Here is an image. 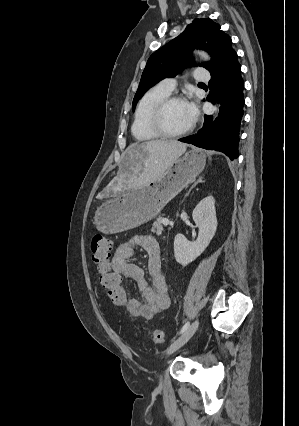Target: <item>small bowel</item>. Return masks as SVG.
I'll list each match as a JSON object with an SVG mask.
<instances>
[{"instance_id": "obj_1", "label": "small bowel", "mask_w": 299, "mask_h": 426, "mask_svg": "<svg viewBox=\"0 0 299 426\" xmlns=\"http://www.w3.org/2000/svg\"><path fill=\"white\" fill-rule=\"evenodd\" d=\"M137 246L147 253L150 284L145 279L143 269L130 262ZM111 267L117 274L135 283L142 295V300H138L127 293L123 305L131 315L151 319L170 306L169 289L162 272L160 246L153 236L141 235L119 243L114 249Z\"/></svg>"}]
</instances>
